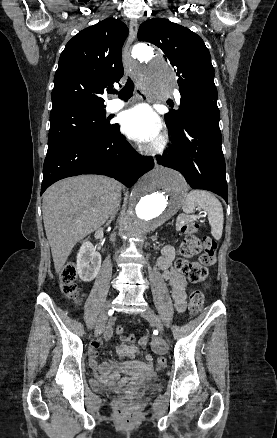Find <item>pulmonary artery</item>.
Wrapping results in <instances>:
<instances>
[{"label":"pulmonary artery","mask_w":277,"mask_h":438,"mask_svg":"<svg viewBox=\"0 0 277 438\" xmlns=\"http://www.w3.org/2000/svg\"><path fill=\"white\" fill-rule=\"evenodd\" d=\"M126 104L127 103L124 101H119V100L114 101L111 105V111L116 112V111L120 110L121 108L125 107Z\"/></svg>","instance_id":"e3ab8cb5"}]
</instances>
